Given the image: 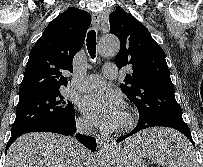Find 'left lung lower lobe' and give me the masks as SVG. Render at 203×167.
Instances as JSON below:
<instances>
[{
	"label": "left lung lower lobe",
	"mask_w": 203,
	"mask_h": 167,
	"mask_svg": "<svg viewBox=\"0 0 203 167\" xmlns=\"http://www.w3.org/2000/svg\"><path fill=\"white\" fill-rule=\"evenodd\" d=\"M156 126L173 128V129L181 132L194 145L191 133L189 131V127L187 126V124L183 120H171V121L156 122V123H151V124H138L130 133H128V134L120 137L119 139H117V142H121L125 138L135 134L136 132H138V131H140L142 129H146V128H149V127H156ZM185 142L189 143L186 139H185ZM150 145H151L150 143L145 141V142L137 143L136 147L139 148V147L142 146V148H143V146L144 147H149Z\"/></svg>",
	"instance_id": "obj_1"
}]
</instances>
